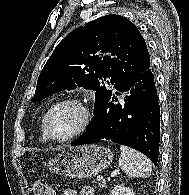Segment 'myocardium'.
<instances>
[{"mask_svg": "<svg viewBox=\"0 0 189 195\" xmlns=\"http://www.w3.org/2000/svg\"><path fill=\"white\" fill-rule=\"evenodd\" d=\"M65 104H73L78 106L83 112V121L80 127L70 135H67L65 137H55L52 135L49 128V118L55 109ZM92 119H93V112L88 103H86L80 98H65L57 101L47 110L46 114L43 117V130L46 134V137L53 142H62V143L68 142L82 135L90 126Z\"/></svg>", "mask_w": 189, "mask_h": 195, "instance_id": "obj_1", "label": "myocardium"}]
</instances>
